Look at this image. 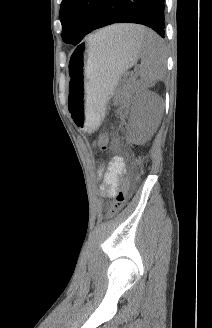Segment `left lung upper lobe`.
I'll return each mask as SVG.
<instances>
[{
  "mask_svg": "<svg viewBox=\"0 0 212 328\" xmlns=\"http://www.w3.org/2000/svg\"><path fill=\"white\" fill-rule=\"evenodd\" d=\"M104 0H62L60 20L62 38L68 44L77 45L93 31Z\"/></svg>",
  "mask_w": 212,
  "mask_h": 328,
  "instance_id": "obj_1",
  "label": "left lung upper lobe"
}]
</instances>
